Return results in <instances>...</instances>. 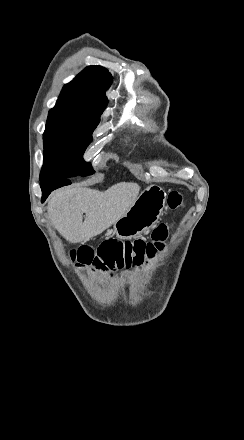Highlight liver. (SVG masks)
I'll list each match as a JSON object with an SVG mask.
<instances>
[{"label":"liver","instance_id":"liver-1","mask_svg":"<svg viewBox=\"0 0 244 440\" xmlns=\"http://www.w3.org/2000/svg\"><path fill=\"white\" fill-rule=\"evenodd\" d=\"M140 192L138 184L121 182L106 192L62 188L49 200L47 212L59 234L71 242H88L126 214ZM83 214L86 218L83 222Z\"/></svg>","mask_w":244,"mask_h":440}]
</instances>
